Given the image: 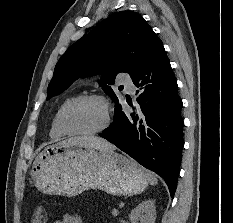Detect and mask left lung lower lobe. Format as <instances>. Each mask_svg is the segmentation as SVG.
I'll return each instance as SVG.
<instances>
[{
  "instance_id": "0a47b994",
  "label": "left lung lower lobe",
  "mask_w": 233,
  "mask_h": 223,
  "mask_svg": "<svg viewBox=\"0 0 233 223\" xmlns=\"http://www.w3.org/2000/svg\"><path fill=\"white\" fill-rule=\"evenodd\" d=\"M131 78L138 87V105L129 112L120 107L99 136L161 176L172 197L184 146V122L177 82L160 39Z\"/></svg>"
}]
</instances>
